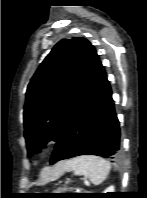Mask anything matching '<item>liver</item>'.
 <instances>
[{"mask_svg": "<svg viewBox=\"0 0 147 198\" xmlns=\"http://www.w3.org/2000/svg\"><path fill=\"white\" fill-rule=\"evenodd\" d=\"M70 161H61L57 163L46 174L42 175V183H46L51 180L59 178L63 173L69 170Z\"/></svg>", "mask_w": 147, "mask_h": 198, "instance_id": "6515ba94", "label": "liver"}]
</instances>
